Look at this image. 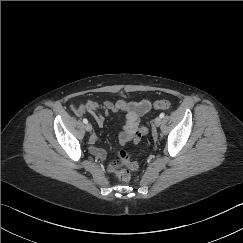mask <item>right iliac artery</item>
<instances>
[{"label":"right iliac artery","instance_id":"right-iliac-artery-1","mask_svg":"<svg viewBox=\"0 0 243 243\" xmlns=\"http://www.w3.org/2000/svg\"><path fill=\"white\" fill-rule=\"evenodd\" d=\"M83 122H84L85 124H87V123H88V120H87L86 118H84V119H83Z\"/></svg>","mask_w":243,"mask_h":243}]
</instances>
